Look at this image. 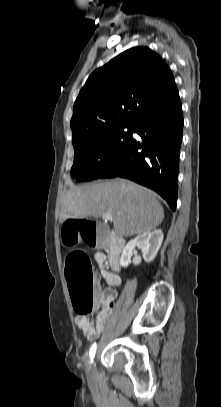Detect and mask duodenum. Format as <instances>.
<instances>
[{
	"mask_svg": "<svg viewBox=\"0 0 221 407\" xmlns=\"http://www.w3.org/2000/svg\"><path fill=\"white\" fill-rule=\"evenodd\" d=\"M110 251H109V263L114 271H118L120 268V254L124 247V240L122 237L114 232H110Z\"/></svg>",
	"mask_w": 221,
	"mask_h": 407,
	"instance_id": "obj_1",
	"label": "duodenum"
}]
</instances>
